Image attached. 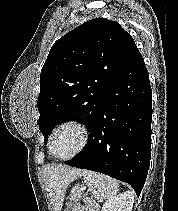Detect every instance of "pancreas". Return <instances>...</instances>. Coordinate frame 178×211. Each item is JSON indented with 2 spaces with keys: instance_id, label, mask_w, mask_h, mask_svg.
<instances>
[{
  "instance_id": "obj_1",
  "label": "pancreas",
  "mask_w": 178,
  "mask_h": 211,
  "mask_svg": "<svg viewBox=\"0 0 178 211\" xmlns=\"http://www.w3.org/2000/svg\"><path fill=\"white\" fill-rule=\"evenodd\" d=\"M92 206L94 207V208H98V206L96 205V203L93 201L92 202ZM92 211H95V210H92Z\"/></svg>"
}]
</instances>
